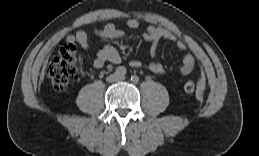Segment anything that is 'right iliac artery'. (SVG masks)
<instances>
[{
  "mask_svg": "<svg viewBox=\"0 0 259 156\" xmlns=\"http://www.w3.org/2000/svg\"><path fill=\"white\" fill-rule=\"evenodd\" d=\"M127 73V70L125 67L123 66H119L116 68L115 70V74H117L118 76H125Z\"/></svg>",
  "mask_w": 259,
  "mask_h": 156,
  "instance_id": "right-iliac-artery-1",
  "label": "right iliac artery"
}]
</instances>
